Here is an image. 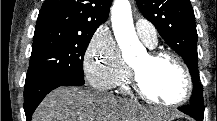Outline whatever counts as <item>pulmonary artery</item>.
I'll return each mask as SVG.
<instances>
[{"label": "pulmonary artery", "mask_w": 217, "mask_h": 121, "mask_svg": "<svg viewBox=\"0 0 217 121\" xmlns=\"http://www.w3.org/2000/svg\"><path fill=\"white\" fill-rule=\"evenodd\" d=\"M138 36L150 47L157 43V31L154 25L145 19H138L135 22Z\"/></svg>", "instance_id": "1"}]
</instances>
